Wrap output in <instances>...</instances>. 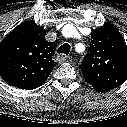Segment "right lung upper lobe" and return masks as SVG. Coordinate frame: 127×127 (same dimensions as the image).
<instances>
[{"label":"right lung upper lobe","mask_w":127,"mask_h":127,"mask_svg":"<svg viewBox=\"0 0 127 127\" xmlns=\"http://www.w3.org/2000/svg\"><path fill=\"white\" fill-rule=\"evenodd\" d=\"M35 22L21 23L0 43V76L10 86L34 89L41 86L56 66V43Z\"/></svg>","instance_id":"obj_1"}]
</instances>
